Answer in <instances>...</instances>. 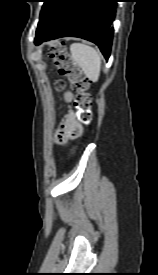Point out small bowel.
<instances>
[{"label": "small bowel", "instance_id": "1", "mask_svg": "<svg viewBox=\"0 0 158 275\" xmlns=\"http://www.w3.org/2000/svg\"><path fill=\"white\" fill-rule=\"evenodd\" d=\"M82 132V126L77 121L76 115L73 110L65 115L62 120L61 125L59 126L56 134V138L59 142L65 141L69 138H76Z\"/></svg>", "mask_w": 158, "mask_h": 275}]
</instances>
